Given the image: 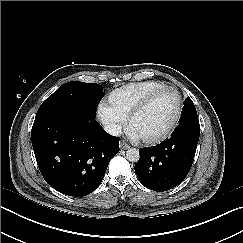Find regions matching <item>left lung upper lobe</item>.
I'll return each mask as SVG.
<instances>
[{
  "label": "left lung upper lobe",
  "mask_w": 243,
  "mask_h": 243,
  "mask_svg": "<svg viewBox=\"0 0 243 243\" xmlns=\"http://www.w3.org/2000/svg\"><path fill=\"white\" fill-rule=\"evenodd\" d=\"M193 118L194 119L198 118V115H197V111H196V108H195L192 100L190 99V97H188L184 103V108L181 113L180 122L187 120V119H193Z\"/></svg>",
  "instance_id": "1"
}]
</instances>
